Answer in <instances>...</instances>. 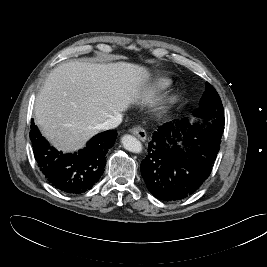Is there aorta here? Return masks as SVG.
<instances>
[{
  "label": "aorta",
  "instance_id": "aorta-1",
  "mask_svg": "<svg viewBox=\"0 0 267 267\" xmlns=\"http://www.w3.org/2000/svg\"><path fill=\"white\" fill-rule=\"evenodd\" d=\"M121 143L124 149L132 152V153H141L142 152V144L141 142L132 135H124L121 138Z\"/></svg>",
  "mask_w": 267,
  "mask_h": 267
}]
</instances>
